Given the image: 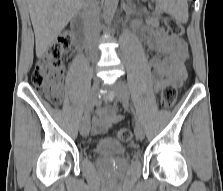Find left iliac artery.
<instances>
[{"label": "left iliac artery", "instance_id": "1", "mask_svg": "<svg viewBox=\"0 0 223 191\" xmlns=\"http://www.w3.org/2000/svg\"><path fill=\"white\" fill-rule=\"evenodd\" d=\"M132 111L134 112L135 120L137 121V116H136V113H135L134 109H132Z\"/></svg>", "mask_w": 223, "mask_h": 191}]
</instances>
